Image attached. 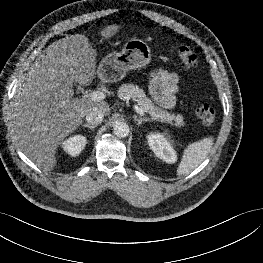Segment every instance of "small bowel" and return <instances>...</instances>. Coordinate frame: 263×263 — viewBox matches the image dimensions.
Instances as JSON below:
<instances>
[{
    "label": "small bowel",
    "mask_w": 263,
    "mask_h": 263,
    "mask_svg": "<svg viewBox=\"0 0 263 263\" xmlns=\"http://www.w3.org/2000/svg\"><path fill=\"white\" fill-rule=\"evenodd\" d=\"M179 75L165 70L156 71L150 79L149 92L154 100L165 108H171L176 101Z\"/></svg>",
    "instance_id": "small-bowel-1"
}]
</instances>
